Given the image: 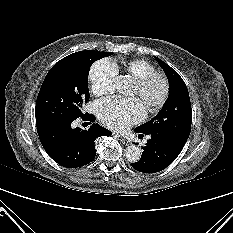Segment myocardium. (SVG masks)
<instances>
[{
    "label": "myocardium",
    "instance_id": "1",
    "mask_svg": "<svg viewBox=\"0 0 233 233\" xmlns=\"http://www.w3.org/2000/svg\"><path fill=\"white\" fill-rule=\"evenodd\" d=\"M156 82L161 84V93L158 98L154 100L148 99V92L152 85ZM137 87H138V95L144 101L147 108L155 112L159 110L167 101L170 93V85L168 79L159 73H154L149 76H146L140 80H137Z\"/></svg>",
    "mask_w": 233,
    "mask_h": 233
}]
</instances>
